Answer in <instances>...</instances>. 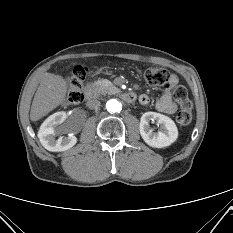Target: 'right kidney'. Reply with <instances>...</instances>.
I'll return each instance as SVG.
<instances>
[{
  "instance_id": "1",
  "label": "right kidney",
  "mask_w": 233,
  "mask_h": 233,
  "mask_svg": "<svg viewBox=\"0 0 233 233\" xmlns=\"http://www.w3.org/2000/svg\"><path fill=\"white\" fill-rule=\"evenodd\" d=\"M66 118V112H56L42 123L38 131V138L45 149L60 152L68 150L76 144L77 138L72 133L68 134V136H60L58 139H55V135L62 131L57 128V125L62 124Z\"/></svg>"
}]
</instances>
